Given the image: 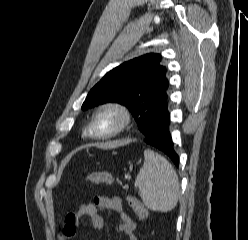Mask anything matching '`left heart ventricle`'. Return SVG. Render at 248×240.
<instances>
[{"instance_id":"1","label":"left heart ventricle","mask_w":248,"mask_h":240,"mask_svg":"<svg viewBox=\"0 0 248 240\" xmlns=\"http://www.w3.org/2000/svg\"><path fill=\"white\" fill-rule=\"evenodd\" d=\"M120 123V117L113 111L101 112L95 119L94 131L103 134L112 131Z\"/></svg>"}]
</instances>
